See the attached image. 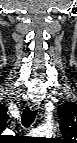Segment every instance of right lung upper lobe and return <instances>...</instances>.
<instances>
[{
    "label": "right lung upper lobe",
    "mask_w": 77,
    "mask_h": 143,
    "mask_svg": "<svg viewBox=\"0 0 77 143\" xmlns=\"http://www.w3.org/2000/svg\"><path fill=\"white\" fill-rule=\"evenodd\" d=\"M7 119H8L7 107H5L4 105H0V127L2 129L5 128Z\"/></svg>",
    "instance_id": "cb5924a9"
}]
</instances>
